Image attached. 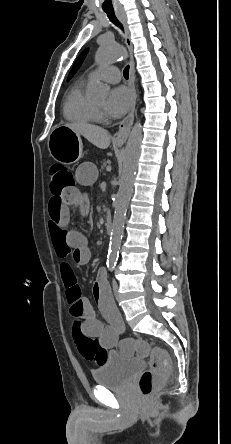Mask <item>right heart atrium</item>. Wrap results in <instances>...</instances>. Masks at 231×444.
Wrapping results in <instances>:
<instances>
[{
    "label": "right heart atrium",
    "instance_id": "right-heart-atrium-1",
    "mask_svg": "<svg viewBox=\"0 0 231 444\" xmlns=\"http://www.w3.org/2000/svg\"><path fill=\"white\" fill-rule=\"evenodd\" d=\"M99 117H102V114H101V113H99Z\"/></svg>",
    "mask_w": 231,
    "mask_h": 444
}]
</instances>
